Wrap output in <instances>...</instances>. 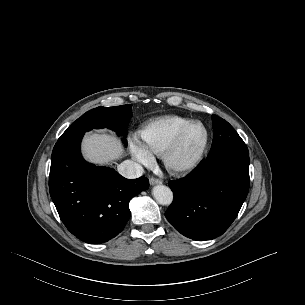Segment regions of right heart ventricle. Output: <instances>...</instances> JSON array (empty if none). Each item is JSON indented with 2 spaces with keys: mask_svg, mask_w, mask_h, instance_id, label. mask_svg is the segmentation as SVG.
<instances>
[{
  "mask_svg": "<svg viewBox=\"0 0 305 305\" xmlns=\"http://www.w3.org/2000/svg\"><path fill=\"white\" fill-rule=\"evenodd\" d=\"M190 122V118L171 115L148 123L139 134L143 146L150 154H163L178 133Z\"/></svg>",
  "mask_w": 305,
  "mask_h": 305,
  "instance_id": "obj_1",
  "label": "right heart ventricle"
}]
</instances>
